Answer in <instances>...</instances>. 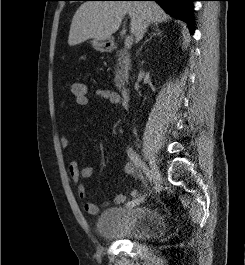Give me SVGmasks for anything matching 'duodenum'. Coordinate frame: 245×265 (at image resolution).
I'll return each instance as SVG.
<instances>
[{"instance_id":"duodenum-1","label":"duodenum","mask_w":245,"mask_h":265,"mask_svg":"<svg viewBox=\"0 0 245 265\" xmlns=\"http://www.w3.org/2000/svg\"><path fill=\"white\" fill-rule=\"evenodd\" d=\"M121 96H122V102L125 106H129L130 105V101H131V94L129 89L127 88H122L121 89Z\"/></svg>"}]
</instances>
